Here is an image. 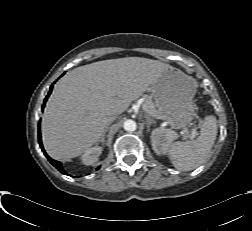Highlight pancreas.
Instances as JSON below:
<instances>
[{
    "instance_id": "pancreas-1",
    "label": "pancreas",
    "mask_w": 252,
    "mask_h": 231,
    "mask_svg": "<svg viewBox=\"0 0 252 231\" xmlns=\"http://www.w3.org/2000/svg\"><path fill=\"white\" fill-rule=\"evenodd\" d=\"M144 105L147 106L148 109L154 114V116L158 118V111H157L155 104L151 98L148 97L146 99Z\"/></svg>"
}]
</instances>
